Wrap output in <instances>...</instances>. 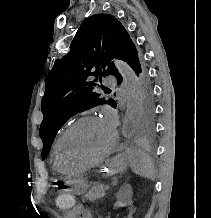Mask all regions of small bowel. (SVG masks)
Listing matches in <instances>:
<instances>
[{
  "mask_svg": "<svg viewBox=\"0 0 211 218\" xmlns=\"http://www.w3.org/2000/svg\"><path fill=\"white\" fill-rule=\"evenodd\" d=\"M72 215H76L78 218H92L90 212L82 205H77L72 211ZM124 218H134L131 212Z\"/></svg>",
  "mask_w": 211,
  "mask_h": 218,
  "instance_id": "obj_1",
  "label": "small bowel"
}]
</instances>
